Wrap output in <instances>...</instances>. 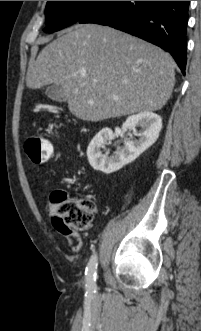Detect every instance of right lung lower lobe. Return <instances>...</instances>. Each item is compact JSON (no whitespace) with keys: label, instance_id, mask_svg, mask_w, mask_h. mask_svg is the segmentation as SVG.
Instances as JSON below:
<instances>
[{"label":"right lung lower lobe","instance_id":"1","mask_svg":"<svg viewBox=\"0 0 201 331\" xmlns=\"http://www.w3.org/2000/svg\"><path fill=\"white\" fill-rule=\"evenodd\" d=\"M188 6L189 1H105L78 23L110 26L149 41L171 53L184 74Z\"/></svg>","mask_w":201,"mask_h":331}]
</instances>
